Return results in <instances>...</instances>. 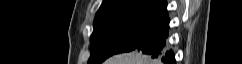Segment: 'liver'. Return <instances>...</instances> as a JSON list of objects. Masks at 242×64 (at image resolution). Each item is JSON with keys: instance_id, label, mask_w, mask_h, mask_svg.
<instances>
[{"instance_id": "6515ba94", "label": "liver", "mask_w": 242, "mask_h": 64, "mask_svg": "<svg viewBox=\"0 0 242 64\" xmlns=\"http://www.w3.org/2000/svg\"><path fill=\"white\" fill-rule=\"evenodd\" d=\"M147 56L137 51L118 54L109 58L105 64H155Z\"/></svg>"}]
</instances>
